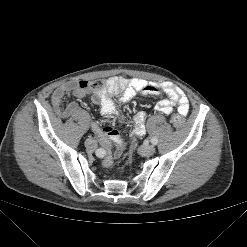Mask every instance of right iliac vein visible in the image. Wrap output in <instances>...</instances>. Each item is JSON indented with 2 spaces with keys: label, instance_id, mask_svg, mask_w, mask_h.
Here are the masks:
<instances>
[{
  "label": "right iliac vein",
  "instance_id": "63e3f726",
  "mask_svg": "<svg viewBox=\"0 0 247 247\" xmlns=\"http://www.w3.org/2000/svg\"><path fill=\"white\" fill-rule=\"evenodd\" d=\"M85 147L89 150H92L96 147V142L95 140H93L92 138H88L86 141H85Z\"/></svg>",
  "mask_w": 247,
  "mask_h": 247
}]
</instances>
